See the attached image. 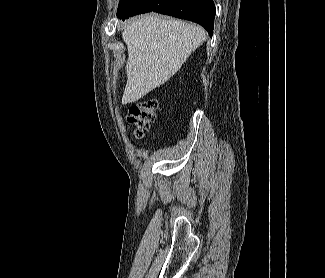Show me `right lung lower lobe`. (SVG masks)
Here are the masks:
<instances>
[{"label": "right lung lower lobe", "mask_w": 325, "mask_h": 278, "mask_svg": "<svg viewBox=\"0 0 325 278\" xmlns=\"http://www.w3.org/2000/svg\"><path fill=\"white\" fill-rule=\"evenodd\" d=\"M151 11L193 21L203 26L210 36L213 34L215 6L212 0H135L133 12L121 19Z\"/></svg>", "instance_id": "98d812e1"}]
</instances>
